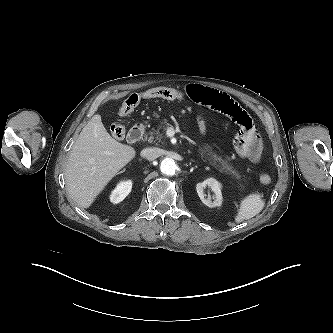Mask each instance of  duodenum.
I'll return each mask as SVG.
<instances>
[{
	"instance_id": "duodenum-1",
	"label": "duodenum",
	"mask_w": 333,
	"mask_h": 333,
	"mask_svg": "<svg viewBox=\"0 0 333 333\" xmlns=\"http://www.w3.org/2000/svg\"><path fill=\"white\" fill-rule=\"evenodd\" d=\"M144 131H145V128L141 124H137V125L133 126L128 132L127 141L129 143H136V142L140 141L144 135Z\"/></svg>"
}]
</instances>
